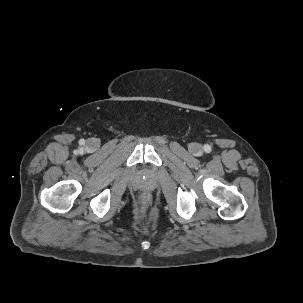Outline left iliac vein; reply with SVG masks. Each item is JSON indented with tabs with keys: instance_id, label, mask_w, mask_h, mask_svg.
<instances>
[{
	"instance_id": "4c4485c4",
	"label": "left iliac vein",
	"mask_w": 303,
	"mask_h": 303,
	"mask_svg": "<svg viewBox=\"0 0 303 303\" xmlns=\"http://www.w3.org/2000/svg\"><path fill=\"white\" fill-rule=\"evenodd\" d=\"M190 152L194 155H199L202 152V147L199 144H192L190 146Z\"/></svg>"
}]
</instances>
